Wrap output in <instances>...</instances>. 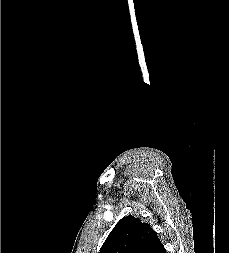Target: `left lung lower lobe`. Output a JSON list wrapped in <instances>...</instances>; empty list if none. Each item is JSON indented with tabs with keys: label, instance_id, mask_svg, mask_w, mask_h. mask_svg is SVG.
I'll list each match as a JSON object with an SVG mask.
<instances>
[{
	"label": "left lung lower lobe",
	"instance_id": "1",
	"mask_svg": "<svg viewBox=\"0 0 229 253\" xmlns=\"http://www.w3.org/2000/svg\"><path fill=\"white\" fill-rule=\"evenodd\" d=\"M155 253H166V250L164 248V246L161 244L157 250L155 251Z\"/></svg>",
	"mask_w": 229,
	"mask_h": 253
}]
</instances>
